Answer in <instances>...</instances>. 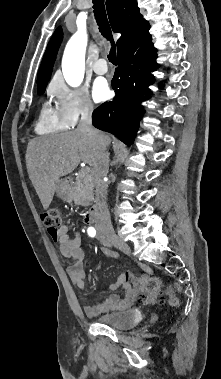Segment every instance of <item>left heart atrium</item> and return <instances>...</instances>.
<instances>
[{
    "label": "left heart atrium",
    "mask_w": 221,
    "mask_h": 379,
    "mask_svg": "<svg viewBox=\"0 0 221 379\" xmlns=\"http://www.w3.org/2000/svg\"><path fill=\"white\" fill-rule=\"evenodd\" d=\"M93 97L97 102L104 101L108 98L109 96V87L107 85V82L98 79L95 81L94 86H93Z\"/></svg>",
    "instance_id": "obj_1"
}]
</instances>
